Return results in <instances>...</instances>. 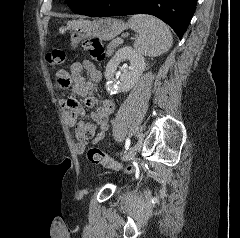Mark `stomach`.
Here are the masks:
<instances>
[{"label": "stomach", "mask_w": 240, "mask_h": 238, "mask_svg": "<svg viewBox=\"0 0 240 238\" xmlns=\"http://www.w3.org/2000/svg\"><path fill=\"white\" fill-rule=\"evenodd\" d=\"M127 28L119 19L100 18L93 21H82L80 27L70 30L71 49L75 50L79 43L87 38L111 40Z\"/></svg>", "instance_id": "1"}]
</instances>
